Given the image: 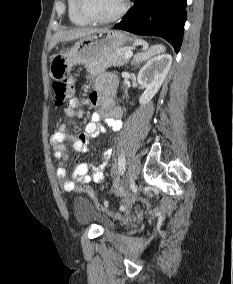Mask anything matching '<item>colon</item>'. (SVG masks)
<instances>
[{"mask_svg":"<svg viewBox=\"0 0 233 284\" xmlns=\"http://www.w3.org/2000/svg\"><path fill=\"white\" fill-rule=\"evenodd\" d=\"M162 51L163 47L160 45L151 46L145 52L140 53L136 57V61H145L151 57L159 55ZM73 93L74 81L71 77L62 78L53 84L54 103L57 107L64 105L72 97ZM77 191L86 194L100 210L108 211L107 206L101 204L97 195L89 186H80L77 188Z\"/></svg>","mask_w":233,"mask_h":284,"instance_id":"obj_1","label":"colon"}]
</instances>
